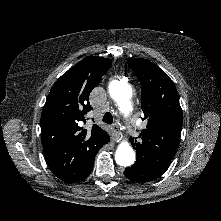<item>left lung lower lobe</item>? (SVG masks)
<instances>
[{
	"label": "left lung lower lobe",
	"instance_id": "1",
	"mask_svg": "<svg viewBox=\"0 0 221 221\" xmlns=\"http://www.w3.org/2000/svg\"><path fill=\"white\" fill-rule=\"evenodd\" d=\"M167 168L168 166L143 167L134 164L125 169L124 175L132 181L144 183L157 179L167 170Z\"/></svg>",
	"mask_w": 221,
	"mask_h": 221
}]
</instances>
